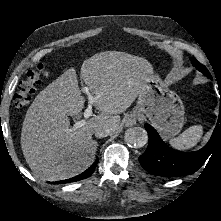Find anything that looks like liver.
Wrapping results in <instances>:
<instances>
[{
  "instance_id": "obj_1",
  "label": "liver",
  "mask_w": 221,
  "mask_h": 221,
  "mask_svg": "<svg viewBox=\"0 0 221 221\" xmlns=\"http://www.w3.org/2000/svg\"><path fill=\"white\" fill-rule=\"evenodd\" d=\"M148 60L119 51H104L85 60L80 76L94 96L100 114L75 131L68 116H77L85 98L74 68L65 71L34 99L21 130V148L33 174L45 181L66 179L89 166L98 143L92 139L100 127L119 129L120 114L137 98L147 75Z\"/></svg>"
}]
</instances>
